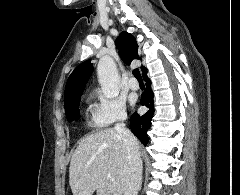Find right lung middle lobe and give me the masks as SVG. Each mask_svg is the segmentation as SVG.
<instances>
[{"instance_id":"right-lung-middle-lobe-1","label":"right lung middle lobe","mask_w":240,"mask_h":195,"mask_svg":"<svg viewBox=\"0 0 240 195\" xmlns=\"http://www.w3.org/2000/svg\"><path fill=\"white\" fill-rule=\"evenodd\" d=\"M79 102H80V99H77L71 102L68 106H65V113H66L67 120L69 122L73 120H78L80 118V113L78 109Z\"/></svg>"}]
</instances>
